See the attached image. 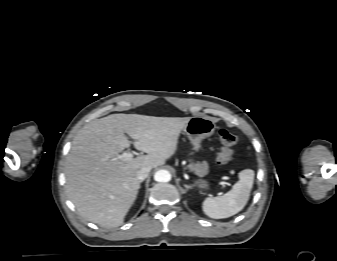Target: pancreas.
Returning a JSON list of instances; mask_svg holds the SVG:
<instances>
[{"instance_id": "obj_1", "label": "pancreas", "mask_w": 337, "mask_h": 261, "mask_svg": "<svg viewBox=\"0 0 337 261\" xmlns=\"http://www.w3.org/2000/svg\"><path fill=\"white\" fill-rule=\"evenodd\" d=\"M188 168L190 169V171H194L197 174H205L207 173L208 170V164L207 162H202V163H195V164H190L188 166Z\"/></svg>"}]
</instances>
